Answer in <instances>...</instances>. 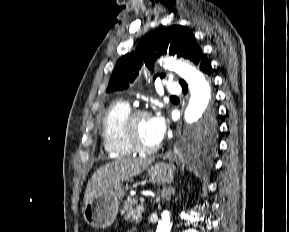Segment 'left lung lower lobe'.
<instances>
[{"label":"left lung lower lobe","instance_id":"left-lung-lower-lobe-1","mask_svg":"<svg viewBox=\"0 0 289 232\" xmlns=\"http://www.w3.org/2000/svg\"><path fill=\"white\" fill-rule=\"evenodd\" d=\"M199 67H200V70L203 71L205 74L207 75L211 74V71H212L211 64L206 57L202 56L200 63H199ZM181 86L183 88V92L187 93L188 91L187 84L184 82L181 84Z\"/></svg>","mask_w":289,"mask_h":232}]
</instances>
